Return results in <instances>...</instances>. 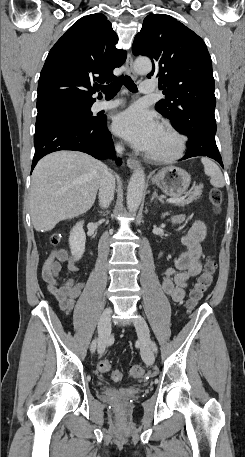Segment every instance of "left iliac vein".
Wrapping results in <instances>:
<instances>
[{"label": "left iliac vein", "instance_id": "obj_1", "mask_svg": "<svg viewBox=\"0 0 245 457\" xmlns=\"http://www.w3.org/2000/svg\"><path fill=\"white\" fill-rule=\"evenodd\" d=\"M135 327L139 333V341L141 343V352L144 362L147 365H152L155 360L152 343L150 341L149 327L145 320L138 318L135 320Z\"/></svg>", "mask_w": 245, "mask_h": 457}]
</instances>
